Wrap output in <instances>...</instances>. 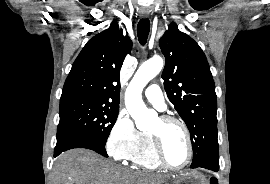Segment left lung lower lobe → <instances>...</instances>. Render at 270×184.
Wrapping results in <instances>:
<instances>
[{"label":"left lung lower lobe","mask_w":270,"mask_h":184,"mask_svg":"<svg viewBox=\"0 0 270 184\" xmlns=\"http://www.w3.org/2000/svg\"><path fill=\"white\" fill-rule=\"evenodd\" d=\"M197 167H201V168H205V169H209V170L217 172L219 170V157L206 158L201 163L196 165V167L191 166V168H197Z\"/></svg>","instance_id":"0a47b994"}]
</instances>
